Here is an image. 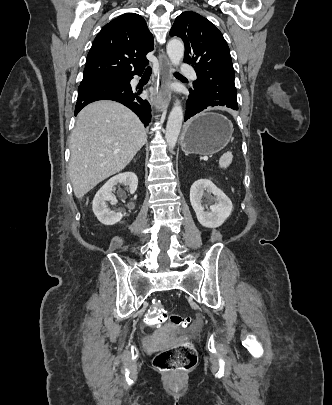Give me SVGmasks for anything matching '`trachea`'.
Masks as SVG:
<instances>
[{
  "label": "trachea",
  "instance_id": "obj_1",
  "mask_svg": "<svg viewBox=\"0 0 332 405\" xmlns=\"http://www.w3.org/2000/svg\"><path fill=\"white\" fill-rule=\"evenodd\" d=\"M151 72H152L151 67H147L146 70H145V73L149 74V73H151Z\"/></svg>",
  "mask_w": 332,
  "mask_h": 405
}]
</instances>
